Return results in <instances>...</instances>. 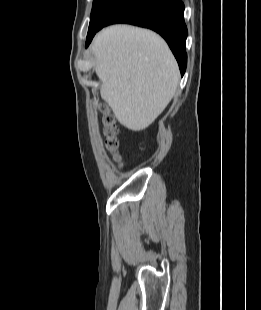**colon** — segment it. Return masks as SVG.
Listing matches in <instances>:
<instances>
[{"label": "colon", "mask_w": 261, "mask_h": 310, "mask_svg": "<svg viewBox=\"0 0 261 310\" xmlns=\"http://www.w3.org/2000/svg\"><path fill=\"white\" fill-rule=\"evenodd\" d=\"M103 125H104V135H105V145L107 149L114 155V157L119 160V156L117 154L118 149V128L115 122V119L111 116L108 109H104L103 115Z\"/></svg>", "instance_id": "obj_1"}]
</instances>
